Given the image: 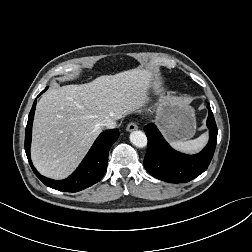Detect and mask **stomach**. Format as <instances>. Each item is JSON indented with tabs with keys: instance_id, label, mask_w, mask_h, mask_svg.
Instances as JSON below:
<instances>
[{
	"instance_id": "1",
	"label": "stomach",
	"mask_w": 252,
	"mask_h": 252,
	"mask_svg": "<svg viewBox=\"0 0 252 252\" xmlns=\"http://www.w3.org/2000/svg\"><path fill=\"white\" fill-rule=\"evenodd\" d=\"M155 121L170 141L189 139L196 130L193 108L179 98H163L157 107Z\"/></svg>"
}]
</instances>
